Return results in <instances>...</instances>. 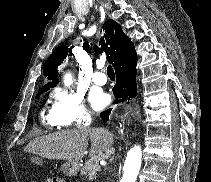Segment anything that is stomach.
<instances>
[{
	"mask_svg": "<svg viewBox=\"0 0 211 182\" xmlns=\"http://www.w3.org/2000/svg\"><path fill=\"white\" fill-rule=\"evenodd\" d=\"M79 168H80L79 160L67 161L62 166V171H63L65 176L72 177V176H75L78 173Z\"/></svg>",
	"mask_w": 211,
	"mask_h": 182,
	"instance_id": "stomach-1",
	"label": "stomach"
}]
</instances>
